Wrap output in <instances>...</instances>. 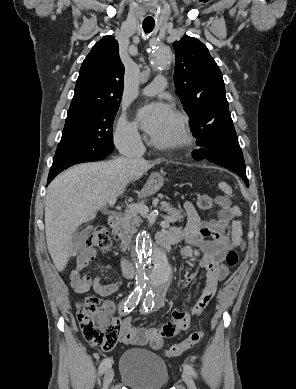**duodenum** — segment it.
Here are the masks:
<instances>
[{
	"instance_id": "1",
	"label": "duodenum",
	"mask_w": 296,
	"mask_h": 389,
	"mask_svg": "<svg viewBox=\"0 0 296 389\" xmlns=\"http://www.w3.org/2000/svg\"><path fill=\"white\" fill-rule=\"evenodd\" d=\"M120 222L119 215L116 212H113L108 219V224L109 226L113 229L116 230ZM158 244L164 251H169L171 248V245L175 244L176 241L172 237L161 235L160 237L157 238ZM123 275L125 278L131 279L135 275V268L134 265L131 261L129 260H122L121 263Z\"/></svg>"
}]
</instances>
